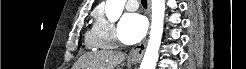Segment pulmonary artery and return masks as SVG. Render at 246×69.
Here are the masks:
<instances>
[{"mask_svg": "<svg viewBox=\"0 0 246 69\" xmlns=\"http://www.w3.org/2000/svg\"><path fill=\"white\" fill-rule=\"evenodd\" d=\"M126 8L130 11H134L138 8L137 1L135 0H128L126 2Z\"/></svg>", "mask_w": 246, "mask_h": 69, "instance_id": "pulmonary-artery-1", "label": "pulmonary artery"}]
</instances>
